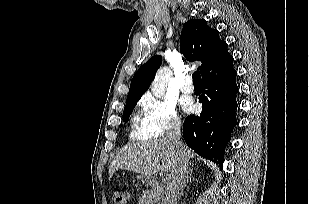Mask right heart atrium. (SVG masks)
Segmentation results:
<instances>
[{
  "instance_id": "obj_1",
  "label": "right heart atrium",
  "mask_w": 309,
  "mask_h": 204,
  "mask_svg": "<svg viewBox=\"0 0 309 204\" xmlns=\"http://www.w3.org/2000/svg\"><path fill=\"white\" fill-rule=\"evenodd\" d=\"M142 125L137 136L159 138L177 131L181 126L173 101L148 94L141 100Z\"/></svg>"
}]
</instances>
